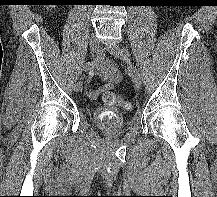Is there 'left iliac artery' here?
<instances>
[{
	"label": "left iliac artery",
	"instance_id": "obj_1",
	"mask_svg": "<svg viewBox=\"0 0 217 197\" xmlns=\"http://www.w3.org/2000/svg\"><path fill=\"white\" fill-rule=\"evenodd\" d=\"M124 50L128 53V50L126 48H124Z\"/></svg>",
	"mask_w": 217,
	"mask_h": 197
}]
</instances>
